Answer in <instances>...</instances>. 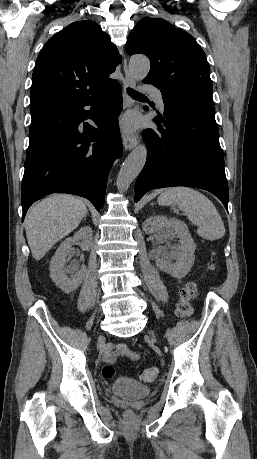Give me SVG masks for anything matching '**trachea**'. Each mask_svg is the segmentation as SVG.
<instances>
[{"instance_id": "3493384b", "label": "trachea", "mask_w": 257, "mask_h": 459, "mask_svg": "<svg viewBox=\"0 0 257 459\" xmlns=\"http://www.w3.org/2000/svg\"><path fill=\"white\" fill-rule=\"evenodd\" d=\"M127 93L134 99H138V98H145V96L131 88H128L127 89Z\"/></svg>"}]
</instances>
